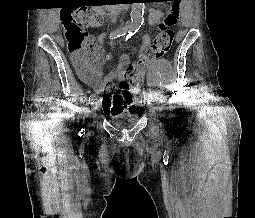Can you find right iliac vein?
<instances>
[{"mask_svg": "<svg viewBox=\"0 0 255 218\" xmlns=\"http://www.w3.org/2000/svg\"><path fill=\"white\" fill-rule=\"evenodd\" d=\"M95 109V103L94 102H92L91 103V114H93V110Z\"/></svg>", "mask_w": 255, "mask_h": 218, "instance_id": "obj_1", "label": "right iliac vein"}]
</instances>
